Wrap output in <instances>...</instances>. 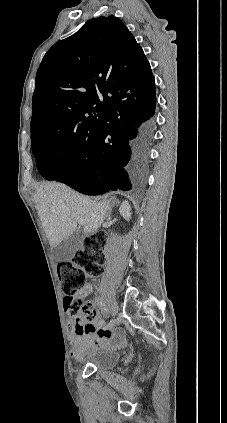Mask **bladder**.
<instances>
[{
  "instance_id": "obj_1",
  "label": "bladder",
  "mask_w": 227,
  "mask_h": 423,
  "mask_svg": "<svg viewBox=\"0 0 227 423\" xmlns=\"http://www.w3.org/2000/svg\"><path fill=\"white\" fill-rule=\"evenodd\" d=\"M120 359L121 355L116 350L101 351L90 356L85 363L97 370L106 372L115 369L119 365Z\"/></svg>"
}]
</instances>
